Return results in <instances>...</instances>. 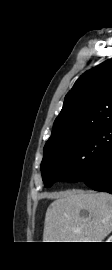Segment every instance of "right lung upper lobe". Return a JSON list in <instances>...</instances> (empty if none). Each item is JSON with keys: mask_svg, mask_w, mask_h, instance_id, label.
Masks as SVG:
<instances>
[{"mask_svg": "<svg viewBox=\"0 0 112 270\" xmlns=\"http://www.w3.org/2000/svg\"><path fill=\"white\" fill-rule=\"evenodd\" d=\"M112 124V58L82 74L64 99L44 150Z\"/></svg>", "mask_w": 112, "mask_h": 270, "instance_id": "obj_1", "label": "right lung upper lobe"}]
</instances>
